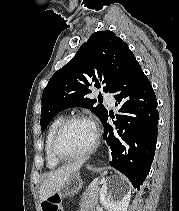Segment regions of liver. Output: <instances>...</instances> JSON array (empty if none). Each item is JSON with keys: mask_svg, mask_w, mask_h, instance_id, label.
I'll list each match as a JSON object with an SVG mask.
<instances>
[{"mask_svg": "<svg viewBox=\"0 0 179 211\" xmlns=\"http://www.w3.org/2000/svg\"><path fill=\"white\" fill-rule=\"evenodd\" d=\"M82 164L83 161H78L50 172V174L40 186V202H43L47 198L56 194L69 179V177L79 171Z\"/></svg>", "mask_w": 179, "mask_h": 211, "instance_id": "obj_1", "label": "liver"}]
</instances>
